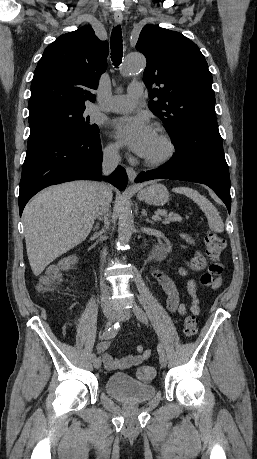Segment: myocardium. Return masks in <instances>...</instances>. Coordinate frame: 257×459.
<instances>
[{
    "label": "myocardium",
    "instance_id": "obj_1",
    "mask_svg": "<svg viewBox=\"0 0 257 459\" xmlns=\"http://www.w3.org/2000/svg\"><path fill=\"white\" fill-rule=\"evenodd\" d=\"M155 131L158 133V135L165 143L166 152L163 155L156 158H149L144 156L143 161L147 166L161 167L169 163L174 158L177 152V147L172 137L167 133V131L164 128L157 126L155 128Z\"/></svg>",
    "mask_w": 257,
    "mask_h": 459
}]
</instances>
